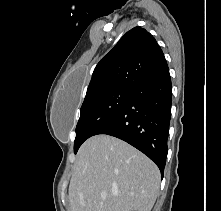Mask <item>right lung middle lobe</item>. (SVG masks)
Returning <instances> with one entry per match:
<instances>
[{
	"label": "right lung middle lobe",
	"instance_id": "right-lung-middle-lobe-1",
	"mask_svg": "<svg viewBox=\"0 0 221 211\" xmlns=\"http://www.w3.org/2000/svg\"><path fill=\"white\" fill-rule=\"evenodd\" d=\"M132 88H117L84 100L76 127L74 153L81 144L111 120L128 100Z\"/></svg>",
	"mask_w": 221,
	"mask_h": 211
}]
</instances>
